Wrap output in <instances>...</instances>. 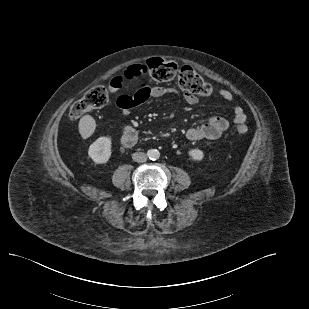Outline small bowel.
<instances>
[{
    "label": "small bowel",
    "instance_id": "obj_1",
    "mask_svg": "<svg viewBox=\"0 0 309 309\" xmlns=\"http://www.w3.org/2000/svg\"><path fill=\"white\" fill-rule=\"evenodd\" d=\"M132 66L139 67V72L136 76L130 73V68ZM132 66L110 79L109 90L111 93H116L134 78L144 76L148 73L146 64H136ZM168 95H179V91L174 88L142 84L133 94L119 96L117 99V106L122 114L127 116L133 108L147 102L149 99L161 98ZM219 95L224 101L232 105L234 123L238 125L243 124L246 121V114L243 108L234 102L232 93L226 89H220ZM183 97L188 104L194 105L198 102L197 96L193 94L185 93ZM228 127L229 121L226 118L212 116L202 125L188 129L186 136L191 141L203 139L215 140L221 137ZM121 141L126 148L134 146L138 141L136 129L130 125L125 126L123 128Z\"/></svg>",
    "mask_w": 309,
    "mask_h": 309
}]
</instances>
